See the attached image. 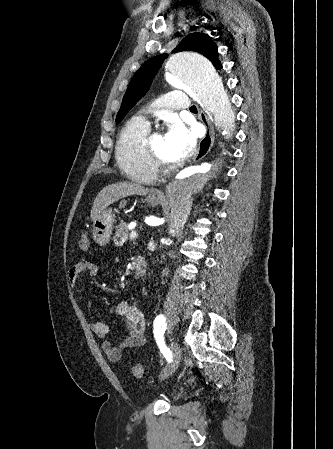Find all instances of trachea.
Listing matches in <instances>:
<instances>
[{
    "mask_svg": "<svg viewBox=\"0 0 333 449\" xmlns=\"http://www.w3.org/2000/svg\"><path fill=\"white\" fill-rule=\"evenodd\" d=\"M190 111H197V108H196L195 106H192V107L190 108Z\"/></svg>",
    "mask_w": 333,
    "mask_h": 449,
    "instance_id": "1",
    "label": "trachea"
}]
</instances>
